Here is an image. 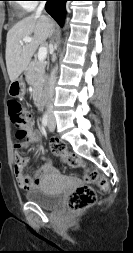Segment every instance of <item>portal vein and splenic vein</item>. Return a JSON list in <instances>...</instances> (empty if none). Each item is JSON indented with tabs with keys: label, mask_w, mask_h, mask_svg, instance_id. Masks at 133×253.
<instances>
[{
	"label": "portal vein and splenic vein",
	"mask_w": 133,
	"mask_h": 253,
	"mask_svg": "<svg viewBox=\"0 0 133 253\" xmlns=\"http://www.w3.org/2000/svg\"><path fill=\"white\" fill-rule=\"evenodd\" d=\"M33 39L31 37H26L23 39V41H20V43L23 42H31ZM47 56V48L46 47H40L38 50V60L44 61Z\"/></svg>",
	"instance_id": "1"
}]
</instances>
